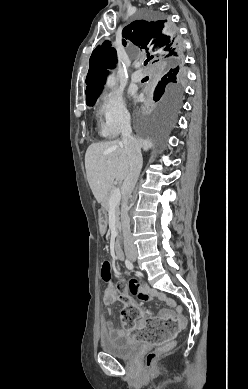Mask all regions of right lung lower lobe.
Returning a JSON list of instances; mask_svg holds the SVG:
<instances>
[{"label":"right lung lower lobe","mask_w":248,"mask_h":389,"mask_svg":"<svg viewBox=\"0 0 248 389\" xmlns=\"http://www.w3.org/2000/svg\"><path fill=\"white\" fill-rule=\"evenodd\" d=\"M167 25H168L169 33L172 37V42H175V45H177V48H178L179 40H178L177 34L172 31L170 24L167 23Z\"/></svg>","instance_id":"98d812e1"}]
</instances>
